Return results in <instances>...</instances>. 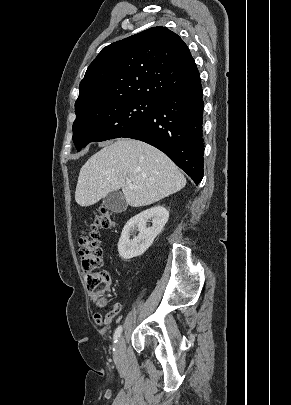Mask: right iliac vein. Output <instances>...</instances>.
<instances>
[{
    "label": "right iliac vein",
    "instance_id": "63e3f726",
    "mask_svg": "<svg viewBox=\"0 0 291 405\" xmlns=\"http://www.w3.org/2000/svg\"><path fill=\"white\" fill-rule=\"evenodd\" d=\"M116 357L119 362H122L125 357V340L121 337L116 344Z\"/></svg>",
    "mask_w": 291,
    "mask_h": 405
}]
</instances>
